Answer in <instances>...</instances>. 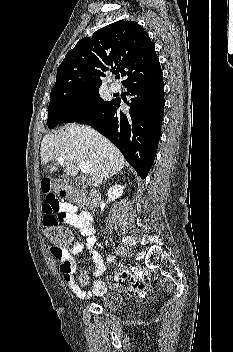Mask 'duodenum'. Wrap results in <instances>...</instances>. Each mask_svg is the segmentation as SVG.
Returning a JSON list of instances; mask_svg holds the SVG:
<instances>
[{
  "label": "duodenum",
  "mask_w": 233,
  "mask_h": 352,
  "mask_svg": "<svg viewBox=\"0 0 233 352\" xmlns=\"http://www.w3.org/2000/svg\"><path fill=\"white\" fill-rule=\"evenodd\" d=\"M99 193L97 190H91L89 192L88 200L92 207H97L99 202Z\"/></svg>",
  "instance_id": "1"
}]
</instances>
